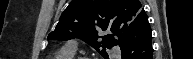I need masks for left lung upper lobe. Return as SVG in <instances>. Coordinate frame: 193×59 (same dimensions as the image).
I'll use <instances>...</instances> for the list:
<instances>
[{"mask_svg":"<svg viewBox=\"0 0 193 59\" xmlns=\"http://www.w3.org/2000/svg\"><path fill=\"white\" fill-rule=\"evenodd\" d=\"M142 13L138 0H72L48 39L80 38L107 58L105 49L117 45L125 30ZM101 31L107 35L99 37Z\"/></svg>","mask_w":193,"mask_h":59,"instance_id":"1","label":"left lung upper lobe"}]
</instances>
